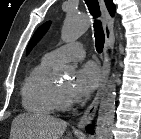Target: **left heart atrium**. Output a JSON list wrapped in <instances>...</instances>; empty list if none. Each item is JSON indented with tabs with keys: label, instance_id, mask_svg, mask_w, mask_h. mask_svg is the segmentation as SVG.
Here are the masks:
<instances>
[{
	"label": "left heart atrium",
	"instance_id": "obj_1",
	"mask_svg": "<svg viewBox=\"0 0 141 139\" xmlns=\"http://www.w3.org/2000/svg\"><path fill=\"white\" fill-rule=\"evenodd\" d=\"M99 82V68L93 63H87L78 70L68 90V97L73 101H83L93 93Z\"/></svg>",
	"mask_w": 141,
	"mask_h": 139
}]
</instances>
